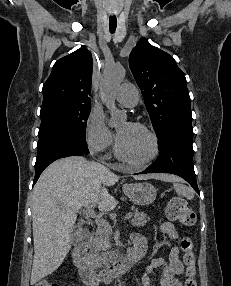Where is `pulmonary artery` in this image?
<instances>
[{
	"label": "pulmonary artery",
	"mask_w": 231,
	"mask_h": 286,
	"mask_svg": "<svg viewBox=\"0 0 231 286\" xmlns=\"http://www.w3.org/2000/svg\"><path fill=\"white\" fill-rule=\"evenodd\" d=\"M116 100L125 107H134L139 101V93L131 83H123L115 94Z\"/></svg>",
	"instance_id": "obj_1"
}]
</instances>
